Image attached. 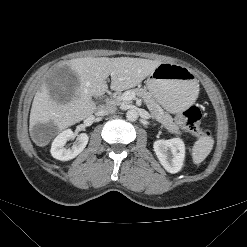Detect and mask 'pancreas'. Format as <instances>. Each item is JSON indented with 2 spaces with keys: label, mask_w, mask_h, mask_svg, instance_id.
<instances>
[{
  "label": "pancreas",
  "mask_w": 247,
  "mask_h": 247,
  "mask_svg": "<svg viewBox=\"0 0 247 247\" xmlns=\"http://www.w3.org/2000/svg\"><path fill=\"white\" fill-rule=\"evenodd\" d=\"M129 91L134 95L141 97L144 100L153 117L159 123H161L165 129H167L170 133H174L176 135L182 134L179 131L178 125L173 121V118L168 113H165L163 111V109L159 106V104L155 101V99L151 96V94L147 90L143 88H136ZM126 102L128 101L123 100L122 96H117L112 101L114 105H120Z\"/></svg>",
  "instance_id": "pancreas-1"
}]
</instances>
